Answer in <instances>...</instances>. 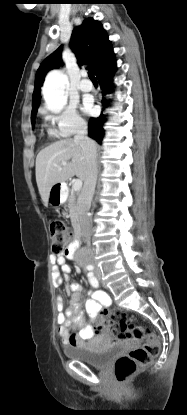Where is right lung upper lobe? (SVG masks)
<instances>
[{"label": "right lung upper lobe", "instance_id": "1", "mask_svg": "<svg viewBox=\"0 0 187 415\" xmlns=\"http://www.w3.org/2000/svg\"><path fill=\"white\" fill-rule=\"evenodd\" d=\"M69 46L77 58L78 65L88 64L95 75L114 56L106 31L92 18L85 19L80 27L73 30ZM61 50L62 46L48 56L36 72L32 112L37 110L40 103V88L45 75L49 70L62 65Z\"/></svg>", "mask_w": 187, "mask_h": 415}]
</instances>
